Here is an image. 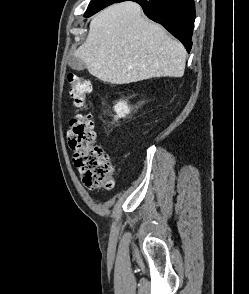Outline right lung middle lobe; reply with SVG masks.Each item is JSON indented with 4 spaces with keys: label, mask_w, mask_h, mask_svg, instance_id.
I'll list each match as a JSON object with an SVG mask.
<instances>
[{
    "label": "right lung middle lobe",
    "mask_w": 249,
    "mask_h": 294,
    "mask_svg": "<svg viewBox=\"0 0 249 294\" xmlns=\"http://www.w3.org/2000/svg\"><path fill=\"white\" fill-rule=\"evenodd\" d=\"M115 2H117V0H91L84 16L90 17L93 14L97 13L98 11Z\"/></svg>",
    "instance_id": "1"
}]
</instances>
